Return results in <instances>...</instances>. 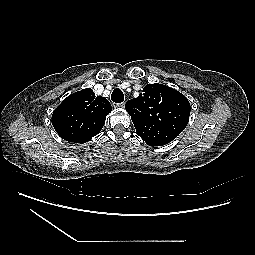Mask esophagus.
I'll use <instances>...</instances> for the list:
<instances>
[{"mask_svg":"<svg viewBox=\"0 0 255 255\" xmlns=\"http://www.w3.org/2000/svg\"><path fill=\"white\" fill-rule=\"evenodd\" d=\"M113 106L115 108H124L125 107V102H122V103H113Z\"/></svg>","mask_w":255,"mask_h":255,"instance_id":"esophagus-1","label":"esophagus"}]
</instances>
